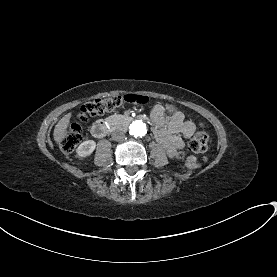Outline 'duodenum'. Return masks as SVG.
Listing matches in <instances>:
<instances>
[{
  "label": "duodenum",
  "mask_w": 277,
  "mask_h": 277,
  "mask_svg": "<svg viewBox=\"0 0 277 277\" xmlns=\"http://www.w3.org/2000/svg\"><path fill=\"white\" fill-rule=\"evenodd\" d=\"M131 121L130 117H123L112 121H98L92 127V133L97 138L104 137L110 130L123 127Z\"/></svg>",
  "instance_id": "duodenum-1"
}]
</instances>
